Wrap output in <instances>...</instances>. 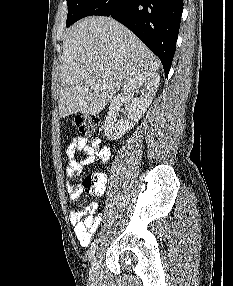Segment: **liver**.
Masks as SVG:
<instances>
[{
  "instance_id": "1",
  "label": "liver",
  "mask_w": 233,
  "mask_h": 286,
  "mask_svg": "<svg viewBox=\"0 0 233 286\" xmlns=\"http://www.w3.org/2000/svg\"><path fill=\"white\" fill-rule=\"evenodd\" d=\"M158 67L156 56L114 19L91 16L78 21L63 39L61 117L100 113L130 79Z\"/></svg>"
}]
</instances>
